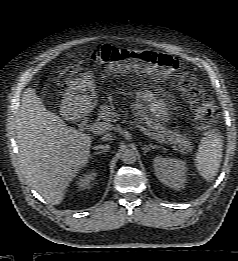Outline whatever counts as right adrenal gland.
Wrapping results in <instances>:
<instances>
[{
    "label": "right adrenal gland",
    "instance_id": "1",
    "mask_svg": "<svg viewBox=\"0 0 238 261\" xmlns=\"http://www.w3.org/2000/svg\"><path fill=\"white\" fill-rule=\"evenodd\" d=\"M106 151H107V149H104L103 151L95 152L94 155L101 154V153H105Z\"/></svg>",
    "mask_w": 238,
    "mask_h": 261
}]
</instances>
